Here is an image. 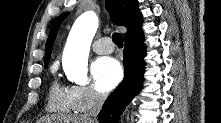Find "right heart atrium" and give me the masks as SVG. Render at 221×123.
I'll return each mask as SVG.
<instances>
[{
  "instance_id": "d8ad5b80",
  "label": "right heart atrium",
  "mask_w": 221,
  "mask_h": 123,
  "mask_svg": "<svg viewBox=\"0 0 221 123\" xmlns=\"http://www.w3.org/2000/svg\"><path fill=\"white\" fill-rule=\"evenodd\" d=\"M69 97L73 109L77 112H86L102 104L106 99V95L92 85L71 86Z\"/></svg>"
}]
</instances>
